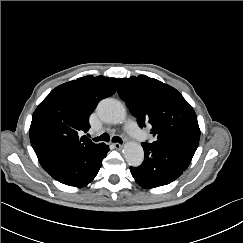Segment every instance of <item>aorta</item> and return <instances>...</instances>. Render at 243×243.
<instances>
[{
    "instance_id": "aorta-1",
    "label": "aorta",
    "mask_w": 243,
    "mask_h": 243,
    "mask_svg": "<svg viewBox=\"0 0 243 243\" xmlns=\"http://www.w3.org/2000/svg\"><path fill=\"white\" fill-rule=\"evenodd\" d=\"M100 118L108 123L117 124L125 120L126 109L124 105L112 98L103 99L97 107ZM123 154L126 162L133 167H138L144 160V151L142 146L136 142L125 144Z\"/></svg>"
}]
</instances>
